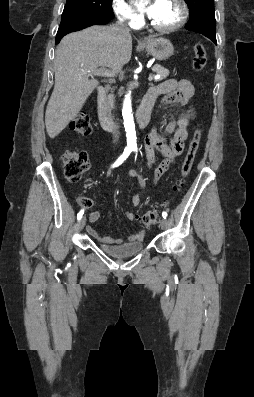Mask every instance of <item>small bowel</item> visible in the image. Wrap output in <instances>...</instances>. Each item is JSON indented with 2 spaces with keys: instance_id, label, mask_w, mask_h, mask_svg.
I'll return each mask as SVG.
<instances>
[{
  "instance_id": "1",
  "label": "small bowel",
  "mask_w": 254,
  "mask_h": 397,
  "mask_svg": "<svg viewBox=\"0 0 254 397\" xmlns=\"http://www.w3.org/2000/svg\"><path fill=\"white\" fill-rule=\"evenodd\" d=\"M147 94L153 98L154 102L159 96H162V104L164 106L171 104H177L180 107L189 106V109L183 112L177 120H172L165 126V132L172 135L170 140H167L156 128H153L145 138L147 169L152 167L156 152H159L163 156V160L154 170V180L158 181L167 172L169 167L175 163L176 158L183 152L184 142L188 136V126L195 115V111L192 108L194 86L188 80L167 79L157 86L152 87ZM128 176L138 179L139 192L132 197V204L138 207L141 202L140 193L145 188V179L135 170H131ZM88 205L91 206L92 202L88 201ZM124 215L128 220H133L135 218V214L130 210H125ZM99 218L100 212L97 210L92 211L89 215V221L91 223L97 222ZM86 231L96 241L103 244L112 245L121 242L118 238L100 235L90 225L86 227ZM144 235L145 231L140 230L130 235L127 240L131 242L141 241Z\"/></svg>"
}]
</instances>
